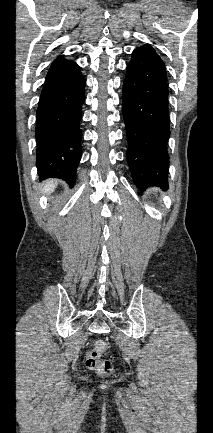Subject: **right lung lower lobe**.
Here are the masks:
<instances>
[{"label": "right lung lower lobe", "instance_id": "98d812e1", "mask_svg": "<svg viewBox=\"0 0 213 433\" xmlns=\"http://www.w3.org/2000/svg\"><path fill=\"white\" fill-rule=\"evenodd\" d=\"M85 79L80 67L62 57L51 65L36 114V165L40 179L61 178L75 183L81 159L79 129Z\"/></svg>", "mask_w": 213, "mask_h": 433}]
</instances>
